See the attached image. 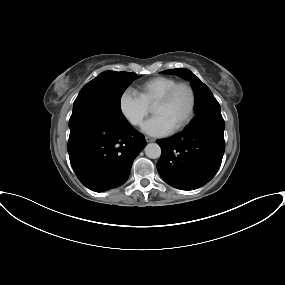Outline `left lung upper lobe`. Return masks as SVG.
Instances as JSON below:
<instances>
[{"label": "left lung upper lobe", "mask_w": 285, "mask_h": 285, "mask_svg": "<svg viewBox=\"0 0 285 285\" xmlns=\"http://www.w3.org/2000/svg\"><path fill=\"white\" fill-rule=\"evenodd\" d=\"M163 73L176 74L191 82V85L196 95L195 111L197 115L193 118V120L189 125L206 117H222L220 105L213 96L212 92L191 71L185 68H179V69L165 70L163 71Z\"/></svg>", "instance_id": "5c2ea615"}]
</instances>
